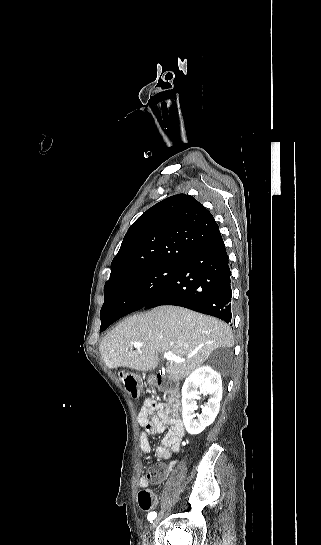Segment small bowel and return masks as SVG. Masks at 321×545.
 Segmentation results:
<instances>
[{
    "label": "small bowel",
    "instance_id": "1",
    "mask_svg": "<svg viewBox=\"0 0 321 545\" xmlns=\"http://www.w3.org/2000/svg\"><path fill=\"white\" fill-rule=\"evenodd\" d=\"M137 422L141 428L139 447L145 457L149 458L150 454L149 435L164 434L161 444L155 450V455L159 459H170L179 451L185 432L174 402L161 404L151 398L145 399L138 413ZM177 464L178 461L174 460L169 464L159 463L151 467L147 476H141L138 479V487L145 489L151 483L162 482Z\"/></svg>",
    "mask_w": 321,
    "mask_h": 545
}]
</instances>
